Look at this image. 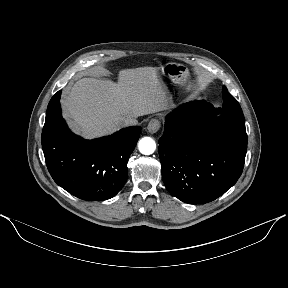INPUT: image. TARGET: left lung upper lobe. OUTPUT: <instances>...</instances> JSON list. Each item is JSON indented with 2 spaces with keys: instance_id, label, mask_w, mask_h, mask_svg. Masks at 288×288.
Instances as JSON below:
<instances>
[{
  "instance_id": "5c2ea615",
  "label": "left lung upper lobe",
  "mask_w": 288,
  "mask_h": 288,
  "mask_svg": "<svg viewBox=\"0 0 288 288\" xmlns=\"http://www.w3.org/2000/svg\"><path fill=\"white\" fill-rule=\"evenodd\" d=\"M223 107L218 108V111L222 114L231 116L238 120L244 121V115L242 109L237 100L228 92L227 88L223 86Z\"/></svg>"
}]
</instances>
